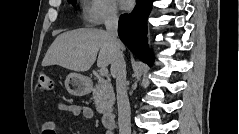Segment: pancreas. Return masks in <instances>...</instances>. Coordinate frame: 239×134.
Listing matches in <instances>:
<instances>
[{
    "label": "pancreas",
    "mask_w": 239,
    "mask_h": 134,
    "mask_svg": "<svg viewBox=\"0 0 239 134\" xmlns=\"http://www.w3.org/2000/svg\"><path fill=\"white\" fill-rule=\"evenodd\" d=\"M93 99L98 113H105L111 109L115 102L113 87L110 82L102 81L93 89Z\"/></svg>",
    "instance_id": "obj_1"
}]
</instances>
